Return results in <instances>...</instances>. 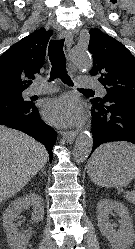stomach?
Returning a JSON list of instances; mask_svg holds the SVG:
<instances>
[{
  "label": "stomach",
  "mask_w": 135,
  "mask_h": 249,
  "mask_svg": "<svg viewBox=\"0 0 135 249\" xmlns=\"http://www.w3.org/2000/svg\"><path fill=\"white\" fill-rule=\"evenodd\" d=\"M113 144L100 147L88 163L91 180L103 187H123L135 177V156L111 149Z\"/></svg>",
  "instance_id": "obj_1"
}]
</instances>
